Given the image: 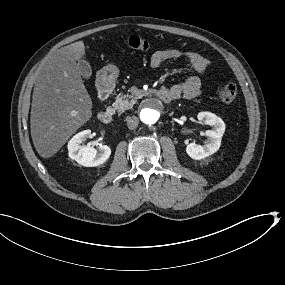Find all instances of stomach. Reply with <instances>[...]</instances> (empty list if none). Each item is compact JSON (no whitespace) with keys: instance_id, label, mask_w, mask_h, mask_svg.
<instances>
[{"instance_id":"stomach-1","label":"stomach","mask_w":285,"mask_h":285,"mask_svg":"<svg viewBox=\"0 0 285 285\" xmlns=\"http://www.w3.org/2000/svg\"><path fill=\"white\" fill-rule=\"evenodd\" d=\"M118 76V71L116 68L109 67L102 75L98 74L97 79L102 85L107 86L109 83H114Z\"/></svg>"}]
</instances>
